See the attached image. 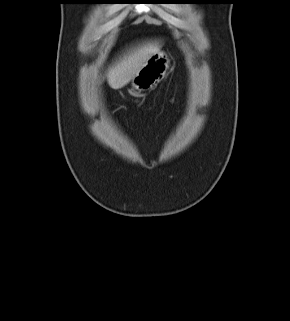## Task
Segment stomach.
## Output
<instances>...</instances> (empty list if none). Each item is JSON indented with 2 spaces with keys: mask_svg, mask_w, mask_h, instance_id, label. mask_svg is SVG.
Listing matches in <instances>:
<instances>
[{
  "mask_svg": "<svg viewBox=\"0 0 290 321\" xmlns=\"http://www.w3.org/2000/svg\"><path fill=\"white\" fill-rule=\"evenodd\" d=\"M169 68V58L159 51L153 54L132 78V86L141 92L152 89L165 77Z\"/></svg>",
  "mask_w": 290,
  "mask_h": 321,
  "instance_id": "1",
  "label": "stomach"
}]
</instances>
